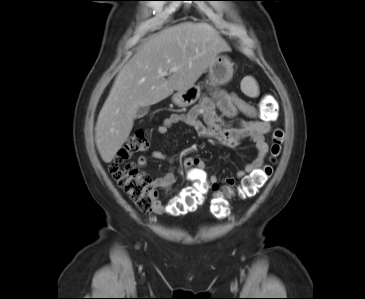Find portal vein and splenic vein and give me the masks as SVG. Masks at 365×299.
I'll list each match as a JSON object with an SVG mask.
<instances>
[{
    "label": "portal vein and splenic vein",
    "mask_w": 365,
    "mask_h": 299,
    "mask_svg": "<svg viewBox=\"0 0 365 299\" xmlns=\"http://www.w3.org/2000/svg\"><path fill=\"white\" fill-rule=\"evenodd\" d=\"M177 70H178V67H173V68H171V69L169 70V72H168V71L161 72V73H160V76L165 77V76H167L169 73L176 72Z\"/></svg>",
    "instance_id": "obj_1"
}]
</instances>
